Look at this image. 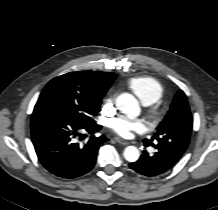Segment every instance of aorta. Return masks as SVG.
<instances>
[{
    "label": "aorta",
    "mask_w": 218,
    "mask_h": 210,
    "mask_svg": "<svg viewBox=\"0 0 218 210\" xmlns=\"http://www.w3.org/2000/svg\"><path fill=\"white\" fill-rule=\"evenodd\" d=\"M116 104L118 109L131 119L137 117L140 113L139 103L137 99L131 94L128 93L121 94L117 98ZM123 155L127 161L135 162L139 159L140 153L135 146H128L125 148Z\"/></svg>",
    "instance_id": "obj_1"
}]
</instances>
